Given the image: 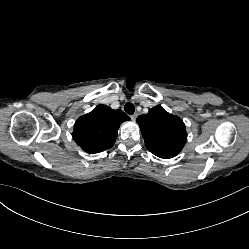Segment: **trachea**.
<instances>
[{
  "label": "trachea",
  "instance_id": "obj_1",
  "mask_svg": "<svg viewBox=\"0 0 249 249\" xmlns=\"http://www.w3.org/2000/svg\"><path fill=\"white\" fill-rule=\"evenodd\" d=\"M124 110L127 114L132 115L135 112V107L132 103H126Z\"/></svg>",
  "mask_w": 249,
  "mask_h": 249
}]
</instances>
